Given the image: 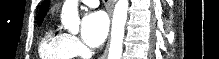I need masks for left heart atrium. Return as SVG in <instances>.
Instances as JSON below:
<instances>
[{
	"label": "left heart atrium",
	"mask_w": 219,
	"mask_h": 59,
	"mask_svg": "<svg viewBox=\"0 0 219 59\" xmlns=\"http://www.w3.org/2000/svg\"><path fill=\"white\" fill-rule=\"evenodd\" d=\"M108 33V19L101 11L87 13L82 21L81 37L91 46L97 47L103 43Z\"/></svg>",
	"instance_id": "1"
}]
</instances>
